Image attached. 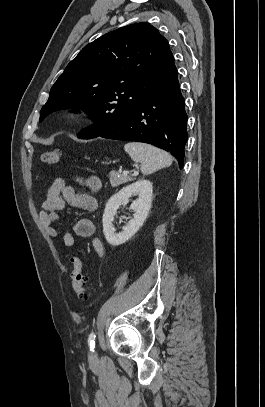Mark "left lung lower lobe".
I'll use <instances>...</instances> for the list:
<instances>
[{"label": "left lung lower lobe", "instance_id": "left-lung-lower-lobe-1", "mask_svg": "<svg viewBox=\"0 0 265 407\" xmlns=\"http://www.w3.org/2000/svg\"><path fill=\"white\" fill-rule=\"evenodd\" d=\"M186 125L184 98L176 74L100 137L155 145L170 152L182 168L187 141Z\"/></svg>", "mask_w": 265, "mask_h": 407}]
</instances>
